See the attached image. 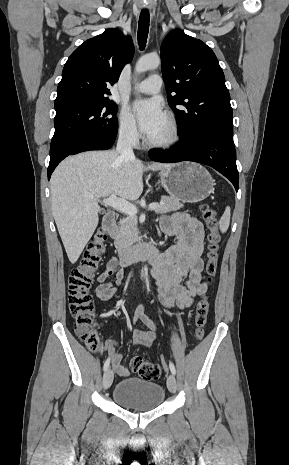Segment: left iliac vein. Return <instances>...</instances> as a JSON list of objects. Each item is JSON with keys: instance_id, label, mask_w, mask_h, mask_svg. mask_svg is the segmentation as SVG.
Masks as SVG:
<instances>
[{"instance_id": "left-iliac-vein-1", "label": "left iliac vein", "mask_w": 289, "mask_h": 465, "mask_svg": "<svg viewBox=\"0 0 289 465\" xmlns=\"http://www.w3.org/2000/svg\"><path fill=\"white\" fill-rule=\"evenodd\" d=\"M167 387L170 392L175 393L177 390V381L176 378L173 374H170L167 377Z\"/></svg>"}]
</instances>
